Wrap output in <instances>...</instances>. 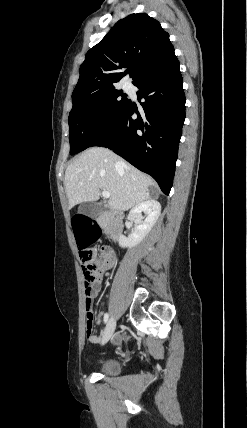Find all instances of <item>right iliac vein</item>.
<instances>
[{"label":"right iliac vein","instance_id":"right-iliac-vein-1","mask_svg":"<svg viewBox=\"0 0 247 428\" xmlns=\"http://www.w3.org/2000/svg\"><path fill=\"white\" fill-rule=\"evenodd\" d=\"M116 327V321L114 317H111L106 325V328L104 330L103 338H102V344H105L108 342V340L111 338V336L114 333Z\"/></svg>","mask_w":247,"mask_h":428}]
</instances>
